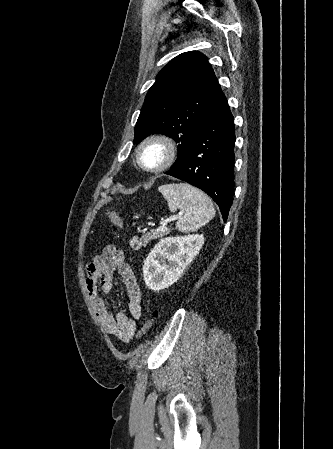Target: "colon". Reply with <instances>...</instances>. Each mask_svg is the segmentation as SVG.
<instances>
[{
    "mask_svg": "<svg viewBox=\"0 0 333 449\" xmlns=\"http://www.w3.org/2000/svg\"><path fill=\"white\" fill-rule=\"evenodd\" d=\"M106 216L111 221L113 226H115L116 228H121L123 226V220L116 212H114L112 210H107ZM156 318H157V313L155 311H152L147 316V318L145 319V321L142 325V328L140 330V336L146 335L153 328V326L155 325V322H156Z\"/></svg>",
    "mask_w": 333,
    "mask_h": 449,
    "instance_id": "1",
    "label": "colon"
}]
</instances>
